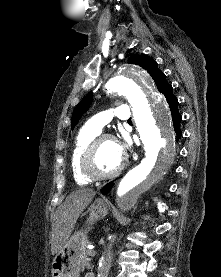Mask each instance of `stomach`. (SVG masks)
Wrapping results in <instances>:
<instances>
[{"label": "stomach", "mask_w": 221, "mask_h": 277, "mask_svg": "<svg viewBox=\"0 0 221 277\" xmlns=\"http://www.w3.org/2000/svg\"><path fill=\"white\" fill-rule=\"evenodd\" d=\"M108 213L105 202L95 200L89 208L88 227L85 230L75 231L64 246L57 252L52 262V277H79L86 246L87 233L97 220L104 218Z\"/></svg>", "instance_id": "1"}]
</instances>
